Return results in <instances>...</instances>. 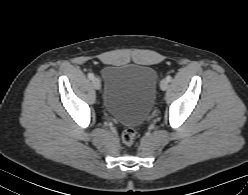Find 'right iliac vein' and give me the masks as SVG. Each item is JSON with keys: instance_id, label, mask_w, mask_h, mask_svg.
Listing matches in <instances>:
<instances>
[{"instance_id": "63e3f726", "label": "right iliac vein", "mask_w": 248, "mask_h": 195, "mask_svg": "<svg viewBox=\"0 0 248 195\" xmlns=\"http://www.w3.org/2000/svg\"><path fill=\"white\" fill-rule=\"evenodd\" d=\"M92 83L95 89L99 90L101 88V82L98 78H94Z\"/></svg>"}]
</instances>
